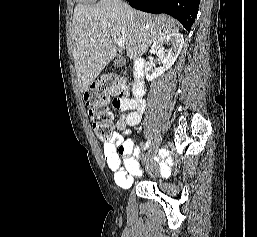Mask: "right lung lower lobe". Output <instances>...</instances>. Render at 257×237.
<instances>
[{
  "label": "right lung lower lobe",
  "mask_w": 257,
  "mask_h": 237,
  "mask_svg": "<svg viewBox=\"0 0 257 237\" xmlns=\"http://www.w3.org/2000/svg\"><path fill=\"white\" fill-rule=\"evenodd\" d=\"M130 6L149 13H165L176 18L186 30L193 25L200 0H127Z\"/></svg>",
  "instance_id": "98d812e1"
}]
</instances>
